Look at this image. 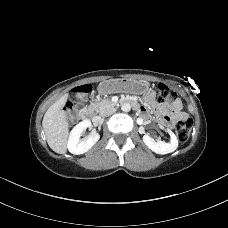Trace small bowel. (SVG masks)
<instances>
[{
    "label": "small bowel",
    "instance_id": "1",
    "mask_svg": "<svg viewBox=\"0 0 228 228\" xmlns=\"http://www.w3.org/2000/svg\"><path fill=\"white\" fill-rule=\"evenodd\" d=\"M146 101L150 104H155V93L149 92L146 97ZM139 110L144 115L148 114L146 107H139ZM157 110L160 113L159 119L167 124H172L176 119H183L186 114L182 111V104L179 100L173 102L171 106H157Z\"/></svg>",
    "mask_w": 228,
    "mask_h": 228
}]
</instances>
